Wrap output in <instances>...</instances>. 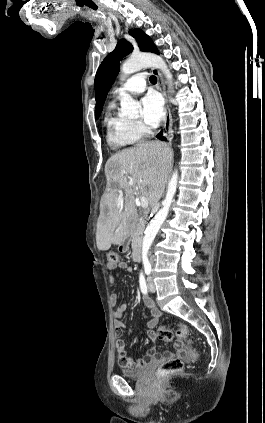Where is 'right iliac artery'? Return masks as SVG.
<instances>
[{
	"instance_id": "1",
	"label": "right iliac artery",
	"mask_w": 265,
	"mask_h": 423,
	"mask_svg": "<svg viewBox=\"0 0 265 423\" xmlns=\"http://www.w3.org/2000/svg\"><path fill=\"white\" fill-rule=\"evenodd\" d=\"M139 283H140L141 292L146 295L147 294V285H146V280H145L143 273H140Z\"/></svg>"
}]
</instances>
